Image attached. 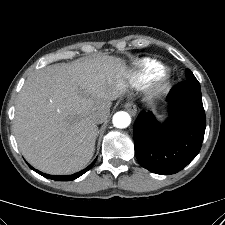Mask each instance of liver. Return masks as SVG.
I'll use <instances>...</instances> for the list:
<instances>
[{
  "label": "liver",
  "instance_id": "1",
  "mask_svg": "<svg viewBox=\"0 0 225 225\" xmlns=\"http://www.w3.org/2000/svg\"><path fill=\"white\" fill-rule=\"evenodd\" d=\"M124 60L113 56L53 64L24 83L15 109L19 149L36 169L72 174L91 160L98 134L93 114L126 88Z\"/></svg>",
  "mask_w": 225,
  "mask_h": 225
}]
</instances>
